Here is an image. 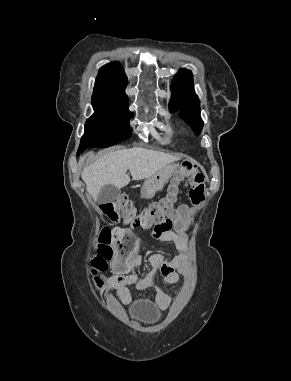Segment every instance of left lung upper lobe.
Returning a JSON list of instances; mask_svg holds the SVG:
<instances>
[{"label":"left lung upper lobe","instance_id":"5c2ea615","mask_svg":"<svg viewBox=\"0 0 291 381\" xmlns=\"http://www.w3.org/2000/svg\"><path fill=\"white\" fill-rule=\"evenodd\" d=\"M170 112L180 111L181 117L191 125L196 134L203 127L200 117V101L194 92L192 74L188 70L180 71L173 79Z\"/></svg>","mask_w":291,"mask_h":381}]
</instances>
